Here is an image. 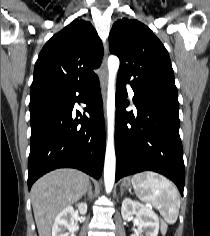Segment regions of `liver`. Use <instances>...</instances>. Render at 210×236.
<instances>
[{
  "instance_id": "obj_1",
  "label": "liver",
  "mask_w": 210,
  "mask_h": 236,
  "mask_svg": "<svg viewBox=\"0 0 210 236\" xmlns=\"http://www.w3.org/2000/svg\"><path fill=\"white\" fill-rule=\"evenodd\" d=\"M89 183L88 175L81 171L57 169L33 184L31 202L39 236H51L56 216L80 200Z\"/></svg>"
}]
</instances>
